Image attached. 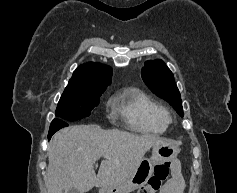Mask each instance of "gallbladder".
Segmentation results:
<instances>
[{"mask_svg": "<svg viewBox=\"0 0 237 193\" xmlns=\"http://www.w3.org/2000/svg\"><path fill=\"white\" fill-rule=\"evenodd\" d=\"M68 193H80L77 189L72 188L68 191Z\"/></svg>", "mask_w": 237, "mask_h": 193, "instance_id": "obj_1", "label": "gallbladder"}]
</instances>
